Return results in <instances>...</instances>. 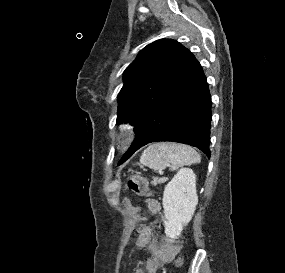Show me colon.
Returning <instances> with one entry per match:
<instances>
[{"label": "colon", "instance_id": "obj_1", "mask_svg": "<svg viewBox=\"0 0 285 273\" xmlns=\"http://www.w3.org/2000/svg\"><path fill=\"white\" fill-rule=\"evenodd\" d=\"M125 188L138 195V196H147L148 195V186L145 180L138 175H129L126 179ZM140 227L138 228L139 232H148L149 228L147 227V223H140ZM177 266L181 264V259L178 258L175 262Z\"/></svg>", "mask_w": 285, "mask_h": 273}]
</instances>
